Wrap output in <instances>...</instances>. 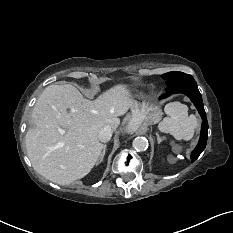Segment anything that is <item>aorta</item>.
<instances>
[{"instance_id": "aorta-1", "label": "aorta", "mask_w": 233, "mask_h": 233, "mask_svg": "<svg viewBox=\"0 0 233 233\" xmlns=\"http://www.w3.org/2000/svg\"><path fill=\"white\" fill-rule=\"evenodd\" d=\"M132 146L138 152L145 151L148 148V140L145 137H136L132 142Z\"/></svg>"}]
</instances>
